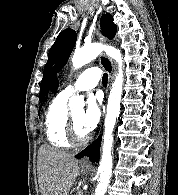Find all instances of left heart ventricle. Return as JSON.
I'll return each mask as SVG.
<instances>
[{
    "label": "left heart ventricle",
    "instance_id": "obj_1",
    "mask_svg": "<svg viewBox=\"0 0 178 195\" xmlns=\"http://www.w3.org/2000/svg\"><path fill=\"white\" fill-rule=\"evenodd\" d=\"M72 118L74 121L75 130H76L78 137H80V138L85 137L87 134L84 132L82 125H81L82 118H83V112L78 111V112L74 113L72 115Z\"/></svg>",
    "mask_w": 178,
    "mask_h": 195
}]
</instances>
